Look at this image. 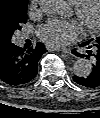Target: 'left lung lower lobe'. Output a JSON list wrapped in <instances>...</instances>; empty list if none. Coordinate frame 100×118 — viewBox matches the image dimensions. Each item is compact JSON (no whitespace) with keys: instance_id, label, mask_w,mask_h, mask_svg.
<instances>
[{"instance_id":"left-lung-lower-lobe-1","label":"left lung lower lobe","mask_w":100,"mask_h":118,"mask_svg":"<svg viewBox=\"0 0 100 118\" xmlns=\"http://www.w3.org/2000/svg\"><path fill=\"white\" fill-rule=\"evenodd\" d=\"M84 46L90 49L87 51V55L79 54L75 50H73L72 53L78 57L90 58L93 61V68L89 76H74L73 80L79 85L94 88L100 86V37L95 40L91 39L80 44V47Z\"/></svg>"}]
</instances>
